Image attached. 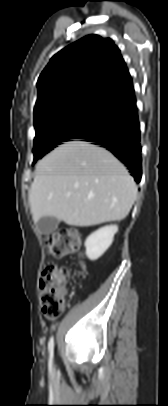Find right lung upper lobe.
<instances>
[{
    "label": "right lung upper lobe",
    "instance_id": "cb5924a9",
    "mask_svg": "<svg viewBox=\"0 0 168 406\" xmlns=\"http://www.w3.org/2000/svg\"><path fill=\"white\" fill-rule=\"evenodd\" d=\"M132 86L114 42L98 35L85 36L55 54L42 71L34 122L79 101H106Z\"/></svg>",
    "mask_w": 168,
    "mask_h": 406
}]
</instances>
